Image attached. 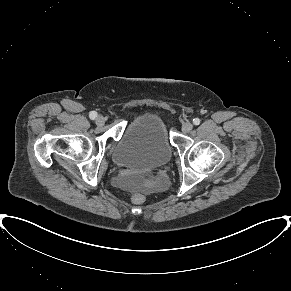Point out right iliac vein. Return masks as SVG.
I'll return each instance as SVG.
<instances>
[{
	"label": "right iliac vein",
	"mask_w": 291,
	"mask_h": 291,
	"mask_svg": "<svg viewBox=\"0 0 291 291\" xmlns=\"http://www.w3.org/2000/svg\"><path fill=\"white\" fill-rule=\"evenodd\" d=\"M95 122L97 125L102 126L105 123V118L102 115H99L96 117Z\"/></svg>",
	"instance_id": "1"
}]
</instances>
